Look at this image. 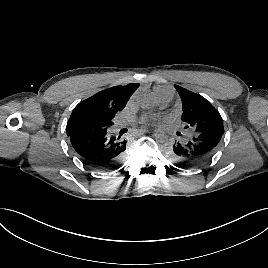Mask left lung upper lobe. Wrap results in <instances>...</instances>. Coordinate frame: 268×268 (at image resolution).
Returning <instances> with one entry per match:
<instances>
[{
  "label": "left lung upper lobe",
  "instance_id": "1",
  "mask_svg": "<svg viewBox=\"0 0 268 268\" xmlns=\"http://www.w3.org/2000/svg\"><path fill=\"white\" fill-rule=\"evenodd\" d=\"M182 101V121L194 134L203 132L224 133L223 119L211 103L199 94L174 85Z\"/></svg>",
  "mask_w": 268,
  "mask_h": 268
}]
</instances>
